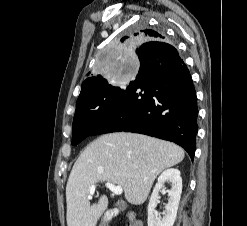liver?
Instances as JSON below:
<instances>
[{"instance_id":"liver-1","label":"liver","mask_w":247,"mask_h":226,"mask_svg":"<svg viewBox=\"0 0 247 226\" xmlns=\"http://www.w3.org/2000/svg\"><path fill=\"white\" fill-rule=\"evenodd\" d=\"M178 145L136 133L105 134L91 142L75 162L66 186L67 226H96L108 207L106 195L90 205V186H121L126 200L144 203L156 177L184 159Z\"/></svg>"}]
</instances>
